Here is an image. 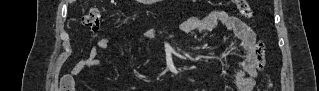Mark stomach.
<instances>
[{
    "label": "stomach",
    "mask_w": 319,
    "mask_h": 91,
    "mask_svg": "<svg viewBox=\"0 0 319 91\" xmlns=\"http://www.w3.org/2000/svg\"><path fill=\"white\" fill-rule=\"evenodd\" d=\"M151 1H153V0H147V2H151Z\"/></svg>",
    "instance_id": "0dacf381"
}]
</instances>
